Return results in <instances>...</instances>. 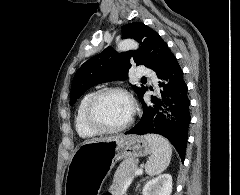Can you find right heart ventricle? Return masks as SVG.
<instances>
[{
	"mask_svg": "<svg viewBox=\"0 0 240 195\" xmlns=\"http://www.w3.org/2000/svg\"><path fill=\"white\" fill-rule=\"evenodd\" d=\"M94 94V92H90L84 95L80 100L76 111L75 124L77 132L81 137L86 139L93 138L99 134L88 126L85 118L87 104Z\"/></svg>",
	"mask_w": 240,
	"mask_h": 195,
	"instance_id": "obj_1",
	"label": "right heart ventricle"
}]
</instances>
